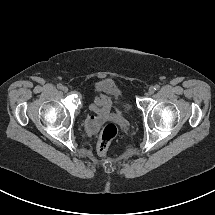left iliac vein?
<instances>
[{"label":"left iliac vein","instance_id":"1","mask_svg":"<svg viewBox=\"0 0 215 215\" xmlns=\"http://www.w3.org/2000/svg\"><path fill=\"white\" fill-rule=\"evenodd\" d=\"M154 92H155L154 87H150V88L148 89V95H152Z\"/></svg>","mask_w":215,"mask_h":215}]
</instances>
